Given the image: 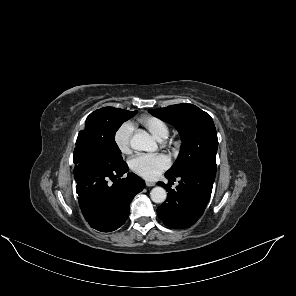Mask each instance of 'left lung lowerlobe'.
I'll use <instances>...</instances> for the list:
<instances>
[{"instance_id":"obj_1","label":"left lung lower lobe","mask_w":296,"mask_h":296,"mask_svg":"<svg viewBox=\"0 0 296 296\" xmlns=\"http://www.w3.org/2000/svg\"><path fill=\"white\" fill-rule=\"evenodd\" d=\"M216 168L197 167L178 176L165 175L170 180L180 179L176 190L158 182L168 191L166 201L157 208L159 218L171 228L183 229L193 225L203 214L210 199Z\"/></svg>"}]
</instances>
